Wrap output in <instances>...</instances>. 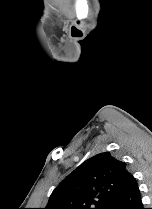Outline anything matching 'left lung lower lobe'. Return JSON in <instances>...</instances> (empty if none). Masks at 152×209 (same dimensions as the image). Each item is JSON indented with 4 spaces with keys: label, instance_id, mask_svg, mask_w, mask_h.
Instances as JSON below:
<instances>
[{
    "label": "left lung lower lobe",
    "instance_id": "left-lung-lower-lobe-1",
    "mask_svg": "<svg viewBox=\"0 0 152 209\" xmlns=\"http://www.w3.org/2000/svg\"><path fill=\"white\" fill-rule=\"evenodd\" d=\"M140 204L139 188L136 180L131 176L122 195L109 207V209H143Z\"/></svg>",
    "mask_w": 152,
    "mask_h": 209
}]
</instances>
